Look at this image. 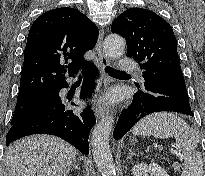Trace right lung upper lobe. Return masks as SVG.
I'll return each instance as SVG.
<instances>
[{"label":"right lung upper lobe","instance_id":"right-lung-upper-lobe-1","mask_svg":"<svg viewBox=\"0 0 205 176\" xmlns=\"http://www.w3.org/2000/svg\"><path fill=\"white\" fill-rule=\"evenodd\" d=\"M98 38V28L80 11L57 8L38 17L30 28L17 98L53 90L91 62L83 54ZM69 63V64H68Z\"/></svg>","mask_w":205,"mask_h":176}]
</instances>
